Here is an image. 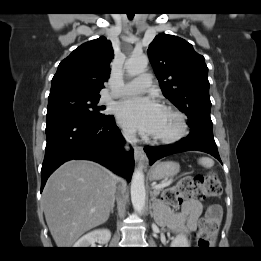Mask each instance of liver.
<instances>
[{
    "mask_svg": "<svg viewBox=\"0 0 261 261\" xmlns=\"http://www.w3.org/2000/svg\"><path fill=\"white\" fill-rule=\"evenodd\" d=\"M117 182L112 172L85 160L66 162L50 176L42 204L57 247H71L84 233L108 220Z\"/></svg>",
    "mask_w": 261,
    "mask_h": 261,
    "instance_id": "obj_1",
    "label": "liver"
}]
</instances>
